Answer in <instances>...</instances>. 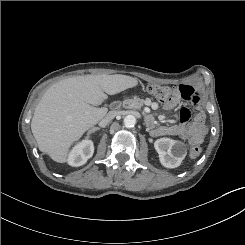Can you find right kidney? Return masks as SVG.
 <instances>
[{
	"label": "right kidney",
	"mask_w": 245,
	"mask_h": 245,
	"mask_svg": "<svg viewBox=\"0 0 245 245\" xmlns=\"http://www.w3.org/2000/svg\"><path fill=\"white\" fill-rule=\"evenodd\" d=\"M94 153V144L91 140H82L79 144L75 145L68 156V163L71 166H82Z\"/></svg>",
	"instance_id": "1"
}]
</instances>
